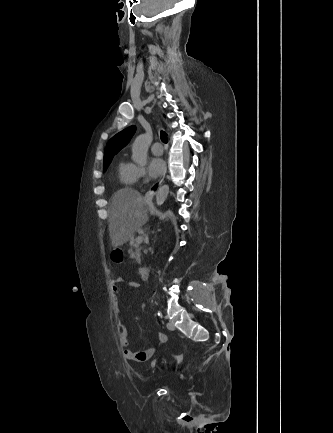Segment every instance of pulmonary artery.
<instances>
[{"label":"pulmonary artery","instance_id":"obj_1","mask_svg":"<svg viewBox=\"0 0 333 433\" xmlns=\"http://www.w3.org/2000/svg\"><path fill=\"white\" fill-rule=\"evenodd\" d=\"M151 151H152V153H153L155 156H160V155H162V153H163V146H162V144L159 143V142H156V143L152 146Z\"/></svg>","mask_w":333,"mask_h":433}]
</instances>
